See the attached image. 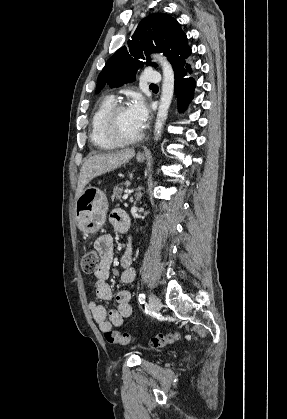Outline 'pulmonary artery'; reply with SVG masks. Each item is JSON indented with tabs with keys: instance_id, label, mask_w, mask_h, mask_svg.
<instances>
[{
	"instance_id": "e3ab8cb5",
	"label": "pulmonary artery",
	"mask_w": 287,
	"mask_h": 419,
	"mask_svg": "<svg viewBox=\"0 0 287 419\" xmlns=\"http://www.w3.org/2000/svg\"><path fill=\"white\" fill-rule=\"evenodd\" d=\"M142 81L149 84H158L161 82V74L154 70H146Z\"/></svg>"
}]
</instances>
